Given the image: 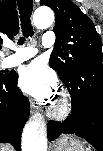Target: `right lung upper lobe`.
<instances>
[{
	"instance_id": "cb5924a9",
	"label": "right lung upper lobe",
	"mask_w": 103,
	"mask_h": 151,
	"mask_svg": "<svg viewBox=\"0 0 103 151\" xmlns=\"http://www.w3.org/2000/svg\"><path fill=\"white\" fill-rule=\"evenodd\" d=\"M15 0H0V43L2 38H13L19 32ZM1 49V46H0Z\"/></svg>"
}]
</instances>
